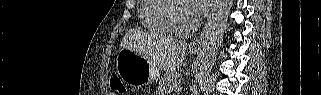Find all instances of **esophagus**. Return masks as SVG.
Wrapping results in <instances>:
<instances>
[{
	"mask_svg": "<svg viewBox=\"0 0 321 95\" xmlns=\"http://www.w3.org/2000/svg\"><path fill=\"white\" fill-rule=\"evenodd\" d=\"M207 28V24L205 25V27L203 28V30L201 31L200 35L195 38L191 43H190V47L191 48H194V47H200L201 46V43H202V40H203V37H204V33H205V30Z\"/></svg>",
	"mask_w": 321,
	"mask_h": 95,
	"instance_id": "obj_1",
	"label": "esophagus"
}]
</instances>
